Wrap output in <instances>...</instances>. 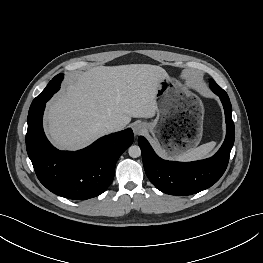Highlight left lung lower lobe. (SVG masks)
<instances>
[{
    "label": "left lung lower lobe",
    "mask_w": 263,
    "mask_h": 263,
    "mask_svg": "<svg viewBox=\"0 0 263 263\" xmlns=\"http://www.w3.org/2000/svg\"><path fill=\"white\" fill-rule=\"evenodd\" d=\"M211 89L220 97L226 119V138L214 156L194 162L167 161L156 155L144 137L138 138L146 175L156 188L166 194L198 193L215 184L227 168L235 138L232 107L227 93L222 88Z\"/></svg>",
    "instance_id": "obj_1"
}]
</instances>
